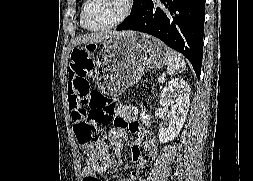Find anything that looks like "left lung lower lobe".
Segmentation results:
<instances>
[{
  "instance_id": "1",
  "label": "left lung lower lobe",
  "mask_w": 253,
  "mask_h": 181,
  "mask_svg": "<svg viewBox=\"0 0 253 181\" xmlns=\"http://www.w3.org/2000/svg\"><path fill=\"white\" fill-rule=\"evenodd\" d=\"M206 0H138L117 30L153 35L190 60L200 78Z\"/></svg>"
}]
</instances>
